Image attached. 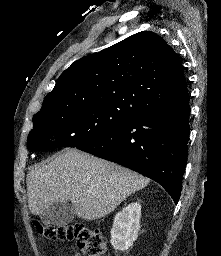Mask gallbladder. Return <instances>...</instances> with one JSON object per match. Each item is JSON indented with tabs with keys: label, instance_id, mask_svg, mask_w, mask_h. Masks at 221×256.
<instances>
[{
	"label": "gallbladder",
	"instance_id": "gallbladder-1",
	"mask_svg": "<svg viewBox=\"0 0 221 256\" xmlns=\"http://www.w3.org/2000/svg\"><path fill=\"white\" fill-rule=\"evenodd\" d=\"M75 217L73 205L68 202H61L51 205L41 215L45 225L65 226Z\"/></svg>",
	"mask_w": 221,
	"mask_h": 256
}]
</instances>
